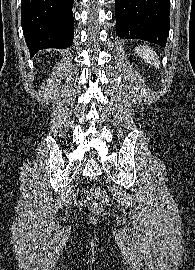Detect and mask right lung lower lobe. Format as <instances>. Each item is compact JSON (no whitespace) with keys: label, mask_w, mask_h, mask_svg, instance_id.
<instances>
[{"label":"right lung lower lobe","mask_w":195,"mask_h":270,"mask_svg":"<svg viewBox=\"0 0 195 270\" xmlns=\"http://www.w3.org/2000/svg\"><path fill=\"white\" fill-rule=\"evenodd\" d=\"M73 0H21L22 29L30 56L41 49H62L74 36Z\"/></svg>","instance_id":"right-lung-lower-lobe-1"}]
</instances>
